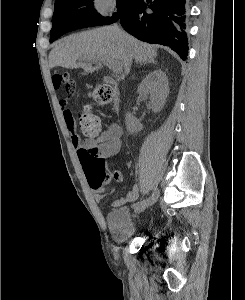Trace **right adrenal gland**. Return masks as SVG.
I'll return each mask as SVG.
<instances>
[{
    "instance_id": "obj_1",
    "label": "right adrenal gland",
    "mask_w": 245,
    "mask_h": 300,
    "mask_svg": "<svg viewBox=\"0 0 245 300\" xmlns=\"http://www.w3.org/2000/svg\"><path fill=\"white\" fill-rule=\"evenodd\" d=\"M146 62H141L139 65H142V64H145ZM148 63H154V60L152 59V60H150V61H148Z\"/></svg>"
}]
</instances>
